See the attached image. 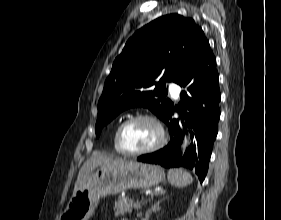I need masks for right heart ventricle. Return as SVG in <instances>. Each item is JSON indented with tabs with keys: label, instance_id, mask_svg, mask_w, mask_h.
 <instances>
[{
	"label": "right heart ventricle",
	"instance_id": "obj_1",
	"mask_svg": "<svg viewBox=\"0 0 281 220\" xmlns=\"http://www.w3.org/2000/svg\"><path fill=\"white\" fill-rule=\"evenodd\" d=\"M115 135H116V131L115 133L113 134V137H112V149L115 153L117 154H121V152L118 150V148L116 147V143H115Z\"/></svg>",
	"mask_w": 281,
	"mask_h": 220
}]
</instances>
